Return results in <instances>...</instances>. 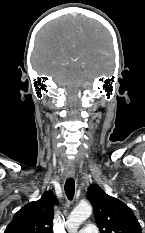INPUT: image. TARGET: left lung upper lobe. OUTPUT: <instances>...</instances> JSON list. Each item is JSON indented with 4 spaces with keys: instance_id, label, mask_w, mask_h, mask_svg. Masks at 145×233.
<instances>
[{
    "instance_id": "obj_1",
    "label": "left lung upper lobe",
    "mask_w": 145,
    "mask_h": 233,
    "mask_svg": "<svg viewBox=\"0 0 145 233\" xmlns=\"http://www.w3.org/2000/svg\"><path fill=\"white\" fill-rule=\"evenodd\" d=\"M100 233H142L133 211L120 200L106 194L98 185L88 188Z\"/></svg>"
}]
</instances>
